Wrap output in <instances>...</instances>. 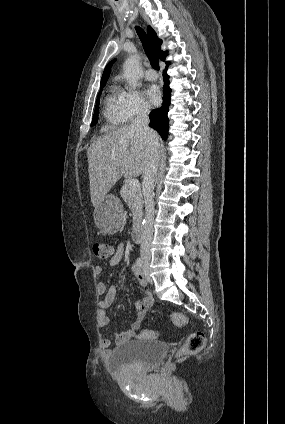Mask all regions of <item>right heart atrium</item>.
<instances>
[{"label": "right heart atrium", "mask_w": 285, "mask_h": 424, "mask_svg": "<svg viewBox=\"0 0 285 424\" xmlns=\"http://www.w3.org/2000/svg\"><path fill=\"white\" fill-rule=\"evenodd\" d=\"M120 101L126 122L147 115L150 105L137 90H121Z\"/></svg>", "instance_id": "1"}]
</instances>
